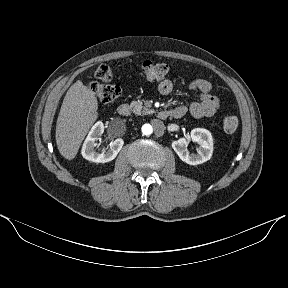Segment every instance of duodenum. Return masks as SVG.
Here are the masks:
<instances>
[{
  "instance_id": "duodenum-1",
  "label": "duodenum",
  "mask_w": 288,
  "mask_h": 288,
  "mask_svg": "<svg viewBox=\"0 0 288 288\" xmlns=\"http://www.w3.org/2000/svg\"><path fill=\"white\" fill-rule=\"evenodd\" d=\"M131 109L130 106L128 104H121L118 107V113L123 116L126 117L128 115H130ZM181 115L180 112H176L175 110H171V111H160L158 113V117L162 120L167 119L168 117H174V118H178Z\"/></svg>"
}]
</instances>
